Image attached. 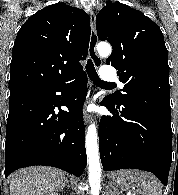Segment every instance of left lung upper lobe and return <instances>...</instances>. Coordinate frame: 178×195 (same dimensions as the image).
<instances>
[{
    "instance_id": "left-lung-upper-lobe-1",
    "label": "left lung upper lobe",
    "mask_w": 178,
    "mask_h": 195,
    "mask_svg": "<svg viewBox=\"0 0 178 195\" xmlns=\"http://www.w3.org/2000/svg\"><path fill=\"white\" fill-rule=\"evenodd\" d=\"M100 40H107L113 51L106 64L115 67L122 92L111 99L120 105L127 101L151 104L171 110L168 51L160 28L141 11L115 2L96 16Z\"/></svg>"
}]
</instances>
